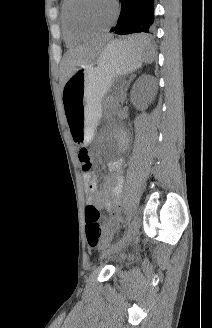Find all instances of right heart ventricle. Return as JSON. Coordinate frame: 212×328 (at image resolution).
Wrapping results in <instances>:
<instances>
[{"label": "right heart ventricle", "mask_w": 212, "mask_h": 328, "mask_svg": "<svg viewBox=\"0 0 212 328\" xmlns=\"http://www.w3.org/2000/svg\"><path fill=\"white\" fill-rule=\"evenodd\" d=\"M69 4V0H63L61 5V26L62 32L64 36V40L68 45L76 44L86 38H88L91 34L90 33H78L75 32L68 21L67 18V7Z\"/></svg>", "instance_id": "obj_1"}]
</instances>
